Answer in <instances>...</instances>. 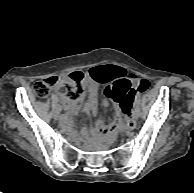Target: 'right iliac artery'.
<instances>
[{
  "mask_svg": "<svg viewBox=\"0 0 194 193\" xmlns=\"http://www.w3.org/2000/svg\"><path fill=\"white\" fill-rule=\"evenodd\" d=\"M61 117V116H60ZM62 119H67L68 118V115L66 114H63V116L61 117Z\"/></svg>",
  "mask_w": 194,
  "mask_h": 193,
  "instance_id": "right-iliac-artery-1",
  "label": "right iliac artery"
}]
</instances>
